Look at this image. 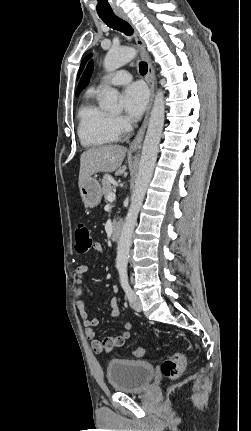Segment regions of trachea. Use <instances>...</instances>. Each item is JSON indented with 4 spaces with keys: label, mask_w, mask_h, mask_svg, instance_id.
Returning a JSON list of instances; mask_svg holds the SVG:
<instances>
[{
    "label": "trachea",
    "mask_w": 251,
    "mask_h": 431,
    "mask_svg": "<svg viewBox=\"0 0 251 431\" xmlns=\"http://www.w3.org/2000/svg\"><path fill=\"white\" fill-rule=\"evenodd\" d=\"M99 17L108 27L123 32L127 36L133 34V28L131 27V25L117 15H115L114 13L99 15ZM139 71L142 75H145L147 73L148 65L146 62L139 63Z\"/></svg>",
    "instance_id": "1"
}]
</instances>
